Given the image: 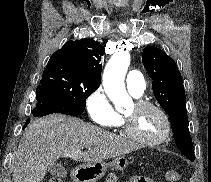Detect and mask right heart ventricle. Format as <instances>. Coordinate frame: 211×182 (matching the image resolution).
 <instances>
[{"label":"right heart ventricle","instance_id":"right-heart-ventricle-1","mask_svg":"<svg viewBox=\"0 0 211 182\" xmlns=\"http://www.w3.org/2000/svg\"><path fill=\"white\" fill-rule=\"evenodd\" d=\"M116 128H122L123 127V119H122V116L118 114V119L117 121L115 122L114 125H112Z\"/></svg>","mask_w":211,"mask_h":182}]
</instances>
